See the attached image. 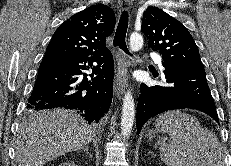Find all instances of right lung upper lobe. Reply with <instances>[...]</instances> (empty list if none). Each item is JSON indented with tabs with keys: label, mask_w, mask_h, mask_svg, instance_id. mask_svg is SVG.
Segmentation results:
<instances>
[{
	"label": "right lung upper lobe",
	"mask_w": 231,
	"mask_h": 166,
	"mask_svg": "<svg viewBox=\"0 0 231 166\" xmlns=\"http://www.w3.org/2000/svg\"><path fill=\"white\" fill-rule=\"evenodd\" d=\"M115 24V14L110 7L90 6L57 28L46 53L79 57L105 54L109 51L106 38L112 34Z\"/></svg>",
	"instance_id": "obj_1"
}]
</instances>
